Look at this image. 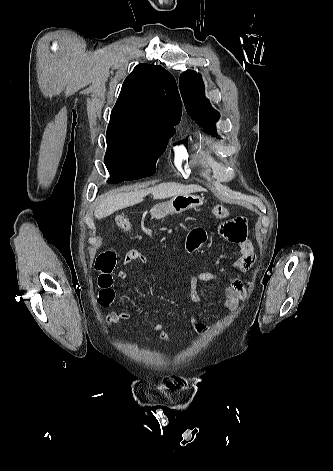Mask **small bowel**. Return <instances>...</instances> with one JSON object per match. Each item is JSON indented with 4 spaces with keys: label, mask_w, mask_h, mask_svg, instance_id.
I'll list each match as a JSON object with an SVG mask.
<instances>
[{
    "label": "small bowel",
    "mask_w": 333,
    "mask_h": 471,
    "mask_svg": "<svg viewBox=\"0 0 333 471\" xmlns=\"http://www.w3.org/2000/svg\"><path fill=\"white\" fill-rule=\"evenodd\" d=\"M220 234L227 241H230L237 245L238 247V257L235 260L233 266L234 269L239 272H246L249 270L256 262V254L252 242L247 238V218L245 216H237L226 220L220 226ZM207 239V233L203 228H194L188 235L187 238V249L189 251L196 250L202 244L205 243ZM134 261H139L140 263H146L147 257L142 254L137 249L129 250L124 258L123 264L128 265ZM118 278L124 280L126 279V272L121 270L118 272ZM222 276L219 273L211 271H202L195 275L191 276V298L193 300L198 299V293L196 285L198 282H214L222 280ZM250 284H245L240 278L233 277L229 282L224 286V306L228 309L235 308L238 304L244 303L248 299V289ZM130 319V314L128 312H111L106 317V324L116 325L120 328H126L127 322ZM190 325L192 329L199 333L203 334L209 331V326L201 321L196 319L190 320ZM148 326L159 332L160 338L164 341H171L172 337L169 334L167 327L161 323L149 322Z\"/></svg>",
    "instance_id": "c3829d8e"
}]
</instances>
